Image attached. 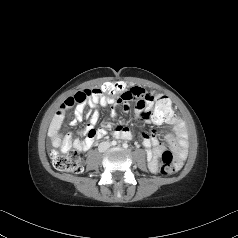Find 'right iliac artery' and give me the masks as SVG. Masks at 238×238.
Segmentation results:
<instances>
[{
	"label": "right iliac artery",
	"mask_w": 238,
	"mask_h": 238,
	"mask_svg": "<svg viewBox=\"0 0 238 238\" xmlns=\"http://www.w3.org/2000/svg\"><path fill=\"white\" fill-rule=\"evenodd\" d=\"M111 145L115 146V145H117V142H116L115 140H113V141L111 142Z\"/></svg>",
	"instance_id": "1"
}]
</instances>
